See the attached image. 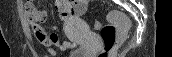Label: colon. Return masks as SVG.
Listing matches in <instances>:
<instances>
[{"label": "colon", "mask_w": 172, "mask_h": 57, "mask_svg": "<svg viewBox=\"0 0 172 57\" xmlns=\"http://www.w3.org/2000/svg\"><path fill=\"white\" fill-rule=\"evenodd\" d=\"M29 13H37L36 9L30 7ZM109 24L101 25L99 21L94 23V28L100 31L103 41V49L98 54V57H112L115 49L124 40L126 31L130 28V21L126 15L111 11L108 13Z\"/></svg>", "instance_id": "obj_1"}]
</instances>
